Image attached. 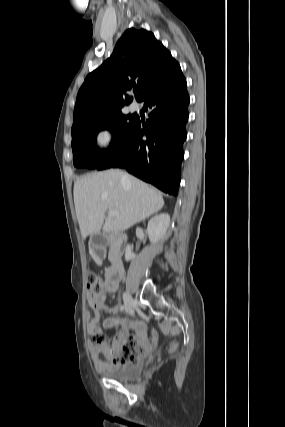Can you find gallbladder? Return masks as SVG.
I'll return each mask as SVG.
<instances>
[{"label":"gallbladder","instance_id":"bac80fb5","mask_svg":"<svg viewBox=\"0 0 285 427\" xmlns=\"http://www.w3.org/2000/svg\"><path fill=\"white\" fill-rule=\"evenodd\" d=\"M98 237H99V235H94L92 237V242H91L92 246H94L95 244H98V241H97Z\"/></svg>","mask_w":285,"mask_h":427}]
</instances>
